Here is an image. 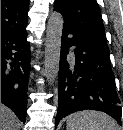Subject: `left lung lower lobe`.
<instances>
[{"instance_id":"obj_1","label":"left lung lower lobe","mask_w":123,"mask_h":130,"mask_svg":"<svg viewBox=\"0 0 123 130\" xmlns=\"http://www.w3.org/2000/svg\"><path fill=\"white\" fill-rule=\"evenodd\" d=\"M76 46L75 62L69 63V48ZM109 49L86 41L63 26L58 74L56 123L76 111H103L121 125L120 99L111 70Z\"/></svg>"}]
</instances>
